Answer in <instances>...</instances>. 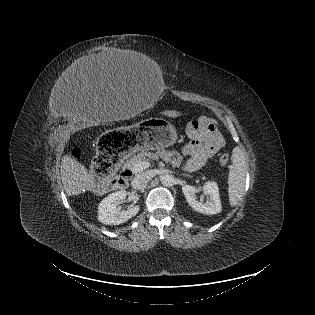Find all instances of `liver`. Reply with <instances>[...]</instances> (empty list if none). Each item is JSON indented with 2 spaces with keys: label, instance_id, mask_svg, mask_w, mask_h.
Wrapping results in <instances>:
<instances>
[{
  "label": "liver",
  "instance_id": "1",
  "mask_svg": "<svg viewBox=\"0 0 315 315\" xmlns=\"http://www.w3.org/2000/svg\"><path fill=\"white\" fill-rule=\"evenodd\" d=\"M127 51L109 52L85 57L77 69L80 74L108 73L117 70L120 60ZM128 55V53H127ZM123 117H128L127 109L122 110ZM61 179L68 196H76L95 187V178L88 170L69 155H64L61 161Z\"/></svg>",
  "mask_w": 315,
  "mask_h": 315
}]
</instances>
